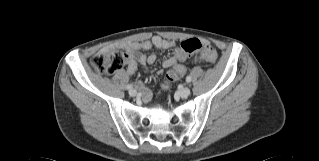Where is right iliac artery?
Wrapping results in <instances>:
<instances>
[{
  "label": "right iliac artery",
  "instance_id": "1",
  "mask_svg": "<svg viewBox=\"0 0 319 161\" xmlns=\"http://www.w3.org/2000/svg\"><path fill=\"white\" fill-rule=\"evenodd\" d=\"M132 88H133L132 85H128V86H127V89H128V90H131Z\"/></svg>",
  "mask_w": 319,
  "mask_h": 161
}]
</instances>
